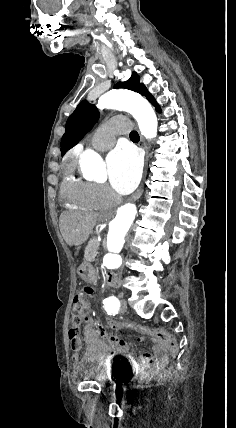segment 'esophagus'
<instances>
[{
    "label": "esophagus",
    "mask_w": 236,
    "mask_h": 428,
    "mask_svg": "<svg viewBox=\"0 0 236 428\" xmlns=\"http://www.w3.org/2000/svg\"><path fill=\"white\" fill-rule=\"evenodd\" d=\"M133 126L137 129V127H136V125L133 123ZM137 132H138V134H139V136H140V144H141V146L145 149V151H146V158H145V175H146V173H147V162H148V149H147V145H146V143H145V140H144V138L140 135V132H139V130L137 129ZM144 179H145V176H144ZM142 190H143V182H142V184H141V187L138 189V191L132 196V198L133 199H137L140 195H141V193H142Z\"/></svg>",
    "instance_id": "esophagus-1"
}]
</instances>
